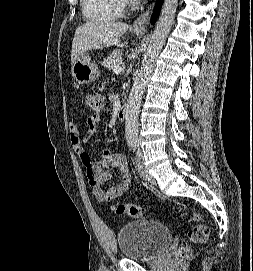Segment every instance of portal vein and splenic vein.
Segmentation results:
<instances>
[{
	"mask_svg": "<svg viewBox=\"0 0 253 271\" xmlns=\"http://www.w3.org/2000/svg\"><path fill=\"white\" fill-rule=\"evenodd\" d=\"M123 68L120 67V66H115L113 71L116 73V74H120L121 72H123Z\"/></svg>",
	"mask_w": 253,
	"mask_h": 271,
	"instance_id": "obj_1",
	"label": "portal vein and splenic vein"
}]
</instances>
